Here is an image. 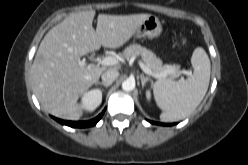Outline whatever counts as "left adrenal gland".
<instances>
[{
  "label": "left adrenal gland",
  "mask_w": 248,
  "mask_h": 165,
  "mask_svg": "<svg viewBox=\"0 0 248 165\" xmlns=\"http://www.w3.org/2000/svg\"><path fill=\"white\" fill-rule=\"evenodd\" d=\"M141 83H142V88H144L146 82L151 81L150 77H145L143 74L140 75Z\"/></svg>",
  "instance_id": "left-adrenal-gland-1"
}]
</instances>
